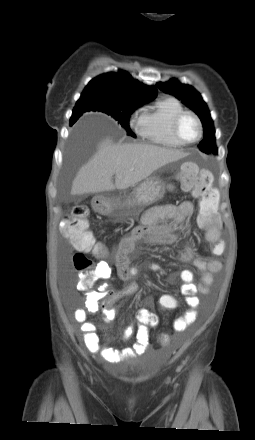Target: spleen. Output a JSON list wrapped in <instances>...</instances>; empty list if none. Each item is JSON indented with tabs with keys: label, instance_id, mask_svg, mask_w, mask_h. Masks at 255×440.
<instances>
[{
	"label": "spleen",
	"instance_id": "spleen-1",
	"mask_svg": "<svg viewBox=\"0 0 255 440\" xmlns=\"http://www.w3.org/2000/svg\"><path fill=\"white\" fill-rule=\"evenodd\" d=\"M218 236H219L218 231H217V229L214 228V229H210L206 233L205 237L208 241H216L218 239Z\"/></svg>",
	"mask_w": 255,
	"mask_h": 440
}]
</instances>
